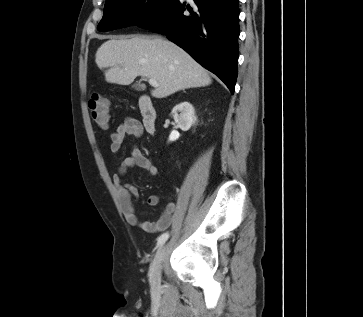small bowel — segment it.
<instances>
[{"label":"small bowel","mask_w":363,"mask_h":317,"mask_svg":"<svg viewBox=\"0 0 363 317\" xmlns=\"http://www.w3.org/2000/svg\"><path fill=\"white\" fill-rule=\"evenodd\" d=\"M143 133L144 127L138 120L126 118L110 136L111 152L118 153L121 150L124 139L127 135L139 139L143 136ZM133 167H140L144 169L152 177L156 176L158 173V169L150 157L144 154L138 147H134L131 154L122 160L118 168V172L112 177V181L116 188L119 203L125 219L131 225L141 227L148 232L166 230L172 222L173 216L177 210V205L174 202H169L165 205V207H163L158 220L154 222H141L132 203V197H136L138 195V188L132 184L121 183V177L128 169ZM158 203V195H150L147 199V204L149 206H156Z\"/></svg>","instance_id":"1"}]
</instances>
